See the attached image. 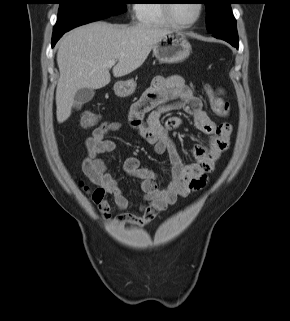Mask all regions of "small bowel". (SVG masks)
<instances>
[{
    "label": "small bowel",
    "instance_id": "obj_1",
    "mask_svg": "<svg viewBox=\"0 0 290 321\" xmlns=\"http://www.w3.org/2000/svg\"><path fill=\"white\" fill-rule=\"evenodd\" d=\"M177 109L189 114L195 128L210 136L208 146H194L195 162L191 164L183 161L169 137L170 130L185 124L184 119L171 117L165 122L162 121L165 113ZM129 121L135 133L153 144L156 153L166 154L170 163L167 183L162 188L158 186L160 174L150 168L141 167L137 158L129 157L123 163L125 173L141 180L140 190L145 203L139 207V214L124 212L117 215L115 221L122 225L143 227L179 198H186L205 187L207 174L213 170L219 156L229 147L232 127L227 122H214L205 112L202 101L179 75L156 77L152 86L131 106ZM120 127L119 122L105 121L85 142L87 154L82 162V171L98 186L99 191L92 196V201L105 219L112 217L109 199L121 210L130 207L128 196L116 175L107 170L101 158L102 154L116 149V143L106 136Z\"/></svg>",
    "mask_w": 290,
    "mask_h": 321
}]
</instances>
